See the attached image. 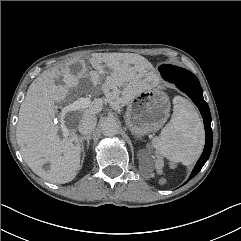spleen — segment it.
<instances>
[{
  "label": "spleen",
  "mask_w": 241,
  "mask_h": 241,
  "mask_svg": "<svg viewBox=\"0 0 241 241\" xmlns=\"http://www.w3.org/2000/svg\"><path fill=\"white\" fill-rule=\"evenodd\" d=\"M173 114L153 147L168 160L191 165L200 156L204 142V127L194 105L181 96L173 98Z\"/></svg>",
  "instance_id": "obj_1"
}]
</instances>
